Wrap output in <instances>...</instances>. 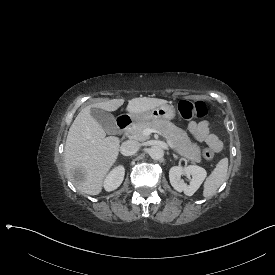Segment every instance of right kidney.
Here are the masks:
<instances>
[{"mask_svg":"<svg viewBox=\"0 0 275 275\" xmlns=\"http://www.w3.org/2000/svg\"><path fill=\"white\" fill-rule=\"evenodd\" d=\"M125 170L123 167H118L111 172L105 182V188L107 191H113L117 189L123 182Z\"/></svg>","mask_w":275,"mask_h":275,"instance_id":"right-kidney-1","label":"right kidney"}]
</instances>
